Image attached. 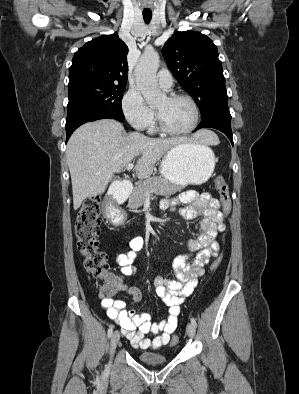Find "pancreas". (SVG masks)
I'll list each match as a JSON object with an SVG mask.
<instances>
[{"instance_id": "1", "label": "pancreas", "mask_w": 299, "mask_h": 394, "mask_svg": "<svg viewBox=\"0 0 299 394\" xmlns=\"http://www.w3.org/2000/svg\"><path fill=\"white\" fill-rule=\"evenodd\" d=\"M182 187L168 182L161 176H154L139 184L134 188V191L129 199V206L132 209L141 207L145 201V198L151 193L162 196H170L177 191H180Z\"/></svg>"}]
</instances>
